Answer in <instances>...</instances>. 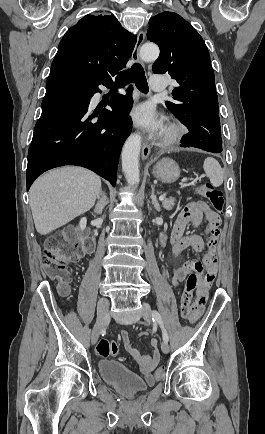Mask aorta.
Masks as SVG:
<instances>
[{
	"instance_id": "762f6f07",
	"label": "aorta",
	"mask_w": 265,
	"mask_h": 434,
	"mask_svg": "<svg viewBox=\"0 0 265 434\" xmlns=\"http://www.w3.org/2000/svg\"><path fill=\"white\" fill-rule=\"evenodd\" d=\"M159 56V48L155 44H144L140 50V58L144 62H154ZM141 136L131 134L122 150V170L130 186L139 184V154L141 150Z\"/></svg>"
}]
</instances>
